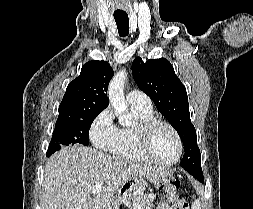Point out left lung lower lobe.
Returning a JSON list of instances; mask_svg holds the SVG:
<instances>
[{"mask_svg":"<svg viewBox=\"0 0 253 209\" xmlns=\"http://www.w3.org/2000/svg\"><path fill=\"white\" fill-rule=\"evenodd\" d=\"M190 174L197 178L199 181L203 182L204 179L201 167H198L195 171L190 172Z\"/></svg>","mask_w":253,"mask_h":209,"instance_id":"1","label":"left lung lower lobe"}]
</instances>
